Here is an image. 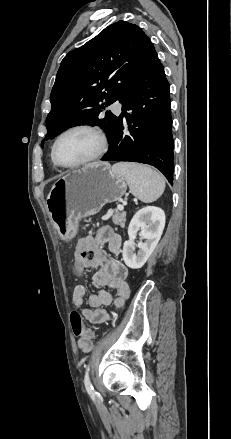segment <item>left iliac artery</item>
Returning a JSON list of instances; mask_svg holds the SVG:
<instances>
[{
	"label": "left iliac artery",
	"mask_w": 231,
	"mask_h": 439,
	"mask_svg": "<svg viewBox=\"0 0 231 439\" xmlns=\"http://www.w3.org/2000/svg\"><path fill=\"white\" fill-rule=\"evenodd\" d=\"M89 365L86 367V372H85V377H84V384H85V388H86V391H87V393L89 394V396L91 397V398H94L95 397V395H96V391L94 390V388H93V386H92V383H91V381H90V378H89Z\"/></svg>",
	"instance_id": "obj_1"
}]
</instances>
